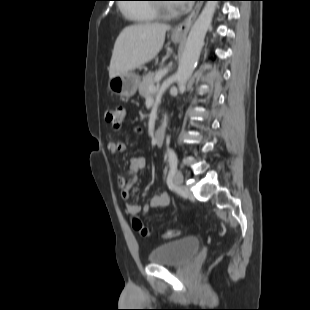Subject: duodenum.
Wrapping results in <instances>:
<instances>
[{"instance_id":"410a0bca","label":"duodenum","mask_w":310,"mask_h":310,"mask_svg":"<svg viewBox=\"0 0 310 310\" xmlns=\"http://www.w3.org/2000/svg\"><path fill=\"white\" fill-rule=\"evenodd\" d=\"M167 133L166 126H161L154 133V141L157 146H161L165 140V136Z\"/></svg>"}]
</instances>
